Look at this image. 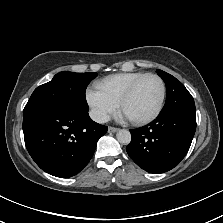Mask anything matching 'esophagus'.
I'll list each match as a JSON object with an SVG mask.
<instances>
[{
    "label": "esophagus",
    "instance_id": "34e87169",
    "mask_svg": "<svg viewBox=\"0 0 223 223\" xmlns=\"http://www.w3.org/2000/svg\"><path fill=\"white\" fill-rule=\"evenodd\" d=\"M117 131H119V128H115V127H111V126L108 128L109 133H115Z\"/></svg>",
    "mask_w": 223,
    "mask_h": 223
}]
</instances>
